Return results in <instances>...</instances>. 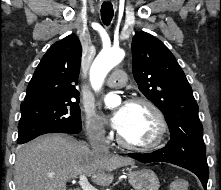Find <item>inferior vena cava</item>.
<instances>
[{"mask_svg":"<svg viewBox=\"0 0 221 190\" xmlns=\"http://www.w3.org/2000/svg\"><path fill=\"white\" fill-rule=\"evenodd\" d=\"M89 141L93 152L102 154L109 153V148L104 141V132L102 129L94 131L92 135H90Z\"/></svg>","mask_w":221,"mask_h":190,"instance_id":"inferior-vena-cava-1","label":"inferior vena cava"}]
</instances>
